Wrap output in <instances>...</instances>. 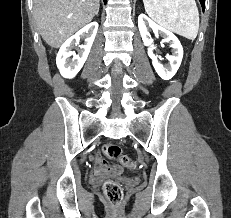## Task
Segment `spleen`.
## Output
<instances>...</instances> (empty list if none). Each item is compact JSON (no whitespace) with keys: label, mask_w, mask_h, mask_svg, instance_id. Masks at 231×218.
<instances>
[{"label":"spleen","mask_w":231,"mask_h":218,"mask_svg":"<svg viewBox=\"0 0 231 218\" xmlns=\"http://www.w3.org/2000/svg\"><path fill=\"white\" fill-rule=\"evenodd\" d=\"M146 13L161 26L194 40L199 29L195 0H143Z\"/></svg>","instance_id":"obj_1"}]
</instances>
